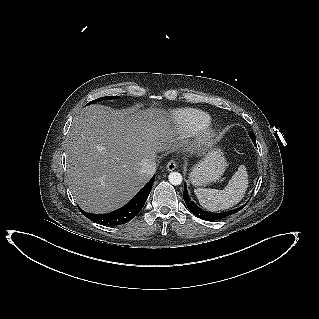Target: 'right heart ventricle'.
Returning a JSON list of instances; mask_svg holds the SVG:
<instances>
[{"instance_id": "e07e8e85", "label": "right heart ventricle", "mask_w": 319, "mask_h": 319, "mask_svg": "<svg viewBox=\"0 0 319 319\" xmlns=\"http://www.w3.org/2000/svg\"><path fill=\"white\" fill-rule=\"evenodd\" d=\"M174 129L179 134L198 132L211 123V117L206 112L194 109H177L171 113Z\"/></svg>"}]
</instances>
